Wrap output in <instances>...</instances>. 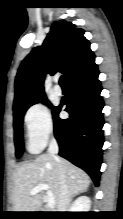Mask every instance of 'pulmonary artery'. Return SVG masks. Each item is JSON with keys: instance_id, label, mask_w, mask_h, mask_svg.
Instances as JSON below:
<instances>
[{"instance_id": "1", "label": "pulmonary artery", "mask_w": 123, "mask_h": 219, "mask_svg": "<svg viewBox=\"0 0 123 219\" xmlns=\"http://www.w3.org/2000/svg\"><path fill=\"white\" fill-rule=\"evenodd\" d=\"M53 91L56 95H61L62 94V88L59 85H55L53 88Z\"/></svg>"}]
</instances>
